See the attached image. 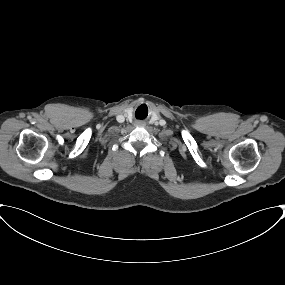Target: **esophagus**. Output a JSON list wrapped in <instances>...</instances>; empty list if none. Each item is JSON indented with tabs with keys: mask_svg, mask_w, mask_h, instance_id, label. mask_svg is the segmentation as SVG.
I'll return each mask as SVG.
<instances>
[{
	"mask_svg": "<svg viewBox=\"0 0 285 285\" xmlns=\"http://www.w3.org/2000/svg\"><path fill=\"white\" fill-rule=\"evenodd\" d=\"M135 125H136V126H143V125H144V122H143V121H136V122H135Z\"/></svg>",
	"mask_w": 285,
	"mask_h": 285,
	"instance_id": "obj_1",
	"label": "esophagus"
}]
</instances>
